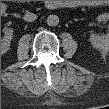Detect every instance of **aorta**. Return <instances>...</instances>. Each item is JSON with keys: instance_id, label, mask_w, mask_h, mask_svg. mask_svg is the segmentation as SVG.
<instances>
[{"instance_id": "aorta-1", "label": "aorta", "mask_w": 109, "mask_h": 109, "mask_svg": "<svg viewBox=\"0 0 109 109\" xmlns=\"http://www.w3.org/2000/svg\"><path fill=\"white\" fill-rule=\"evenodd\" d=\"M46 22L49 26H52V27L57 26L59 24V17L57 15H54V14L49 15L47 17Z\"/></svg>"}]
</instances>
